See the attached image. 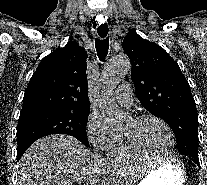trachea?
Returning a JSON list of instances; mask_svg holds the SVG:
<instances>
[{
  "label": "trachea",
  "instance_id": "1",
  "mask_svg": "<svg viewBox=\"0 0 207 185\" xmlns=\"http://www.w3.org/2000/svg\"><path fill=\"white\" fill-rule=\"evenodd\" d=\"M98 35L103 38V40H99L96 38L95 47L100 60H104L107 56L108 49H109V38L107 37L108 34V26L106 24H101L97 28Z\"/></svg>",
  "mask_w": 207,
  "mask_h": 185
}]
</instances>
